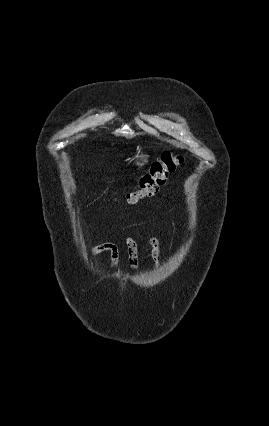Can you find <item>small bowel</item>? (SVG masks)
I'll list each match as a JSON object with an SVG mask.
<instances>
[{
	"mask_svg": "<svg viewBox=\"0 0 269 426\" xmlns=\"http://www.w3.org/2000/svg\"><path fill=\"white\" fill-rule=\"evenodd\" d=\"M125 245L127 248L128 255V265L131 270H135L139 263V248L138 244L133 237L127 236L125 238ZM149 245L151 247V259L155 268H158L160 264V259L162 257L163 251L160 245V242L156 236L149 237ZM108 252L110 255V270L113 271L119 261L120 251L118 246L112 242L103 243L100 246L90 248L89 252L91 254H96L98 252Z\"/></svg>",
	"mask_w": 269,
	"mask_h": 426,
	"instance_id": "small-bowel-1",
	"label": "small bowel"
}]
</instances>
